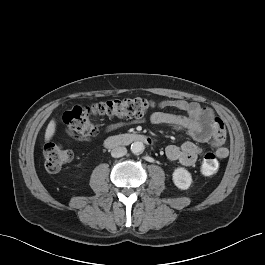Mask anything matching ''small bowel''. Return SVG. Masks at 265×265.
<instances>
[{"mask_svg": "<svg viewBox=\"0 0 265 265\" xmlns=\"http://www.w3.org/2000/svg\"><path fill=\"white\" fill-rule=\"evenodd\" d=\"M172 108L185 113L177 115L164 112V109ZM150 120L156 125H167L183 130L195 141L208 143L215 147L219 158L228 156V150L223 146L225 139V128L222 121L209 109L203 108L196 102L182 99H165L158 103ZM122 126V123H113L106 127V132H112ZM192 141H187L180 146L169 145L166 148V156L172 161H178L182 165H193L199 154L200 147Z\"/></svg>", "mask_w": 265, "mask_h": 265, "instance_id": "1", "label": "small bowel"}]
</instances>
